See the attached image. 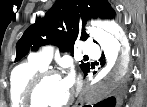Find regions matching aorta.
<instances>
[{"mask_svg": "<svg viewBox=\"0 0 147 107\" xmlns=\"http://www.w3.org/2000/svg\"><path fill=\"white\" fill-rule=\"evenodd\" d=\"M87 33L104 50L107 66L88 88L84 102L96 103L119 86L126 75L129 62L128 42L121 29L113 23L89 27Z\"/></svg>", "mask_w": 147, "mask_h": 107, "instance_id": "aorta-1", "label": "aorta"}]
</instances>
